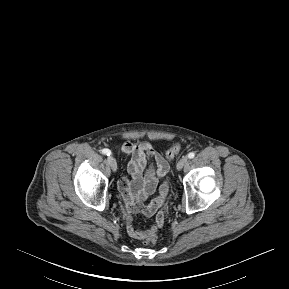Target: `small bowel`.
<instances>
[{
    "label": "small bowel",
    "instance_id": "1",
    "mask_svg": "<svg viewBox=\"0 0 289 289\" xmlns=\"http://www.w3.org/2000/svg\"><path fill=\"white\" fill-rule=\"evenodd\" d=\"M120 152L125 156H130L126 174L118 181V189L128 212L127 233L134 239L145 240L164 224V214L167 211L163 207L167 203L164 198L168 197L172 190L169 181L162 179L159 196L147 205L143 202L155 192L158 180L168 173V159L157 152L149 142L123 143ZM156 211L158 214L155 224L149 229L136 228L133 225V215L143 213L146 216H152Z\"/></svg>",
    "mask_w": 289,
    "mask_h": 289
}]
</instances>
